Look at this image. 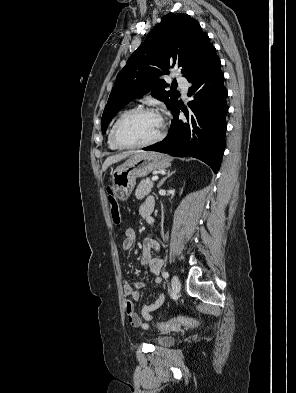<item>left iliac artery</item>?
<instances>
[{
	"instance_id": "left-iliac-artery-1",
	"label": "left iliac artery",
	"mask_w": 296,
	"mask_h": 393,
	"mask_svg": "<svg viewBox=\"0 0 296 393\" xmlns=\"http://www.w3.org/2000/svg\"><path fill=\"white\" fill-rule=\"evenodd\" d=\"M163 277L166 279V278H169V273L167 272V271H164L163 272Z\"/></svg>"
}]
</instances>
